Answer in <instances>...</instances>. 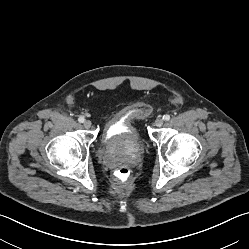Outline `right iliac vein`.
<instances>
[{
	"mask_svg": "<svg viewBox=\"0 0 249 249\" xmlns=\"http://www.w3.org/2000/svg\"><path fill=\"white\" fill-rule=\"evenodd\" d=\"M91 126H92V122H91L90 120H86V121L84 122V127H85L86 129H89Z\"/></svg>",
	"mask_w": 249,
	"mask_h": 249,
	"instance_id": "63e3f726",
	"label": "right iliac vein"
}]
</instances>
